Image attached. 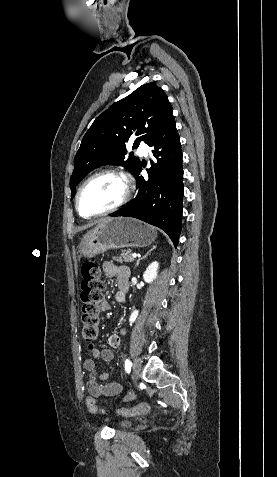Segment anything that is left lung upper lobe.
I'll return each mask as SVG.
<instances>
[{"mask_svg": "<svg viewBox=\"0 0 277 477\" xmlns=\"http://www.w3.org/2000/svg\"><path fill=\"white\" fill-rule=\"evenodd\" d=\"M173 118L172 106L154 82L144 84L100 114L84 135L74 158L70 178L71 198L76 185L94 168L104 164L124 166L133 174L140 160L129 155L126 143L136 136L133 148L148 141Z\"/></svg>", "mask_w": 277, "mask_h": 477, "instance_id": "obj_1", "label": "left lung upper lobe"}]
</instances>
